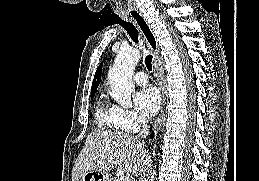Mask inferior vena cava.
I'll use <instances>...</instances> for the list:
<instances>
[{
  "instance_id": "1",
  "label": "inferior vena cava",
  "mask_w": 259,
  "mask_h": 181,
  "mask_svg": "<svg viewBox=\"0 0 259 181\" xmlns=\"http://www.w3.org/2000/svg\"><path fill=\"white\" fill-rule=\"evenodd\" d=\"M142 130L138 135V140L140 144L145 145V139L149 135V125L148 120L145 117L141 118Z\"/></svg>"
}]
</instances>
